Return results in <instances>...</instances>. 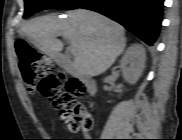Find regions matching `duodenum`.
<instances>
[{"instance_id":"duodenum-1","label":"duodenum","mask_w":182,"mask_h":140,"mask_svg":"<svg viewBox=\"0 0 182 140\" xmlns=\"http://www.w3.org/2000/svg\"><path fill=\"white\" fill-rule=\"evenodd\" d=\"M50 55L55 56L56 62L65 70H67L70 73L77 74L83 81L86 87V90L90 95L95 94L96 88H97L95 80L91 78L90 76L79 72L74 66L73 61L68 55H57V53H51Z\"/></svg>"}]
</instances>
